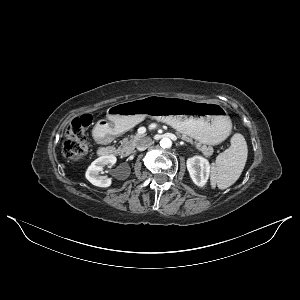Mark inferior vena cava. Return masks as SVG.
Here are the masks:
<instances>
[{"label": "inferior vena cava", "instance_id": "1", "mask_svg": "<svg viewBox=\"0 0 300 300\" xmlns=\"http://www.w3.org/2000/svg\"><path fill=\"white\" fill-rule=\"evenodd\" d=\"M152 144H153V140L150 137H144L141 138V140L139 141V144L137 145V149L139 151H144Z\"/></svg>", "mask_w": 300, "mask_h": 300}]
</instances>
